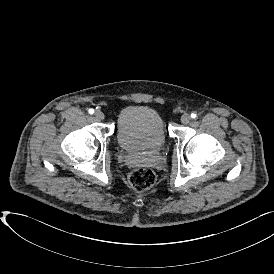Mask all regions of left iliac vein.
I'll use <instances>...</instances> for the list:
<instances>
[{
  "mask_svg": "<svg viewBox=\"0 0 274 274\" xmlns=\"http://www.w3.org/2000/svg\"><path fill=\"white\" fill-rule=\"evenodd\" d=\"M190 120H191V117H190V115L189 114H183L182 116H181V122L183 123V124H188L189 122H190Z\"/></svg>",
  "mask_w": 274,
  "mask_h": 274,
  "instance_id": "4c4485c4",
  "label": "left iliac vein"
}]
</instances>
